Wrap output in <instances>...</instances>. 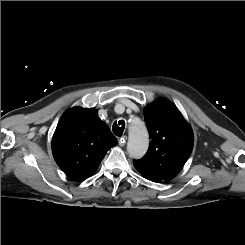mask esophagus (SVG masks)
I'll use <instances>...</instances> for the list:
<instances>
[{
	"mask_svg": "<svg viewBox=\"0 0 245 245\" xmlns=\"http://www.w3.org/2000/svg\"><path fill=\"white\" fill-rule=\"evenodd\" d=\"M126 141H127V136L124 135L118 140V143L121 147H124L126 145Z\"/></svg>",
	"mask_w": 245,
	"mask_h": 245,
	"instance_id": "obj_1",
	"label": "esophagus"
}]
</instances>
